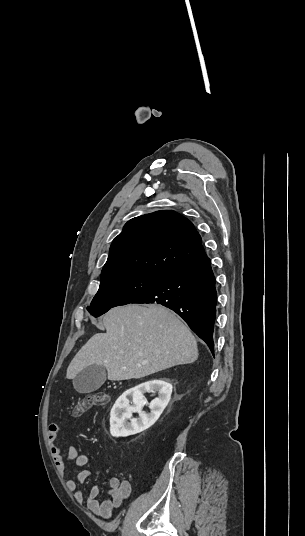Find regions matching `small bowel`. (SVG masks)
Listing matches in <instances>:
<instances>
[{
	"label": "small bowel",
	"instance_id": "small-bowel-1",
	"mask_svg": "<svg viewBox=\"0 0 305 536\" xmlns=\"http://www.w3.org/2000/svg\"><path fill=\"white\" fill-rule=\"evenodd\" d=\"M47 430L49 431L48 444L50 453L60 477L65 476L66 460L73 462L76 467H83L90 462L91 457L89 455L80 454L79 449L74 445L68 448L65 458L58 443L60 437L58 425H49ZM89 476L90 471L88 469H82L77 473L75 479H68L65 483L66 489L74 493V497L77 501L83 499V493L82 491L77 490V487L79 484H83ZM108 486L109 492L106 499L99 500V487L97 485L90 489L87 499L88 508L96 515L105 519L112 516L113 510L122 505V503L130 496L132 490L131 483L128 480H121L116 476L109 478Z\"/></svg>",
	"mask_w": 305,
	"mask_h": 536
}]
</instances>
